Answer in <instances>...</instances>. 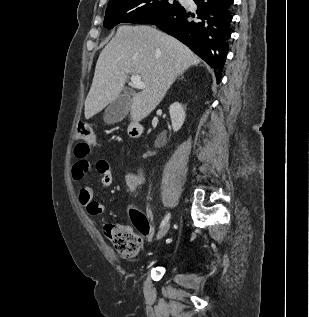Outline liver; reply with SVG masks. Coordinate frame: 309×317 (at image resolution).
<instances>
[{"mask_svg":"<svg viewBox=\"0 0 309 317\" xmlns=\"http://www.w3.org/2000/svg\"><path fill=\"white\" fill-rule=\"evenodd\" d=\"M200 59L174 37L145 25H122L99 55L85 118L90 119L119 97L128 74H138L145 88L130 105L133 121L147 117L162 101L178 75Z\"/></svg>","mask_w":309,"mask_h":317,"instance_id":"1","label":"liver"}]
</instances>
